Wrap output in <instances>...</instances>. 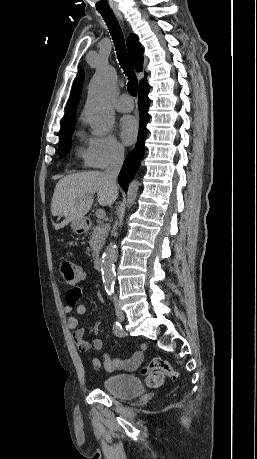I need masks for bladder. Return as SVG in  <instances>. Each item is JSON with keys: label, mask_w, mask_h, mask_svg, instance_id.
Instances as JSON below:
<instances>
[{"label": "bladder", "mask_w": 257, "mask_h": 459, "mask_svg": "<svg viewBox=\"0 0 257 459\" xmlns=\"http://www.w3.org/2000/svg\"><path fill=\"white\" fill-rule=\"evenodd\" d=\"M101 389L122 400H129L145 393L139 378L125 373L107 376L101 382Z\"/></svg>", "instance_id": "31cf9c89"}]
</instances>
